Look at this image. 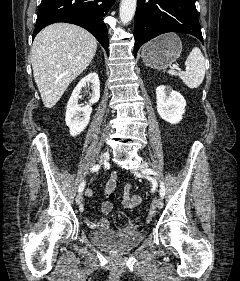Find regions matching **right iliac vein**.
Returning a JSON list of instances; mask_svg holds the SVG:
<instances>
[{
  "label": "right iliac vein",
  "instance_id": "obj_1",
  "mask_svg": "<svg viewBox=\"0 0 240 281\" xmlns=\"http://www.w3.org/2000/svg\"><path fill=\"white\" fill-rule=\"evenodd\" d=\"M109 157H110V155H109L108 152L103 153V154L100 156L99 162H100L101 164H105V163L109 160ZM82 200H83V193L80 192V193L76 196L75 202H76V204L78 205V204L81 203Z\"/></svg>",
  "mask_w": 240,
  "mask_h": 281
}]
</instances>
